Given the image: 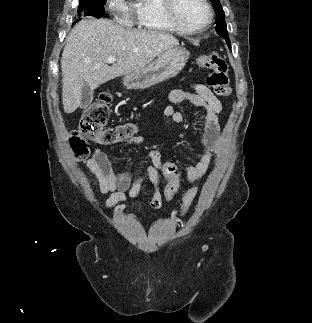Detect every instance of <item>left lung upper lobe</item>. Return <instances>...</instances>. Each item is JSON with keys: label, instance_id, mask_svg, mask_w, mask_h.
Returning <instances> with one entry per match:
<instances>
[{"label": "left lung upper lobe", "instance_id": "obj_1", "mask_svg": "<svg viewBox=\"0 0 312 323\" xmlns=\"http://www.w3.org/2000/svg\"><path fill=\"white\" fill-rule=\"evenodd\" d=\"M210 1L212 2L213 8L218 15V18L216 20L215 29H216L217 33L226 40L228 46L230 47L231 42L228 37L227 26L225 23V13L222 9L220 1L219 0H210Z\"/></svg>", "mask_w": 312, "mask_h": 323}]
</instances>
